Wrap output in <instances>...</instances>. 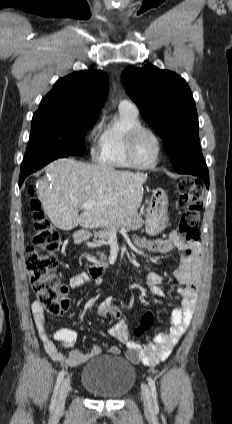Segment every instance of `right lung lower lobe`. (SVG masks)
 I'll use <instances>...</instances> for the list:
<instances>
[{
  "label": "right lung lower lobe",
  "mask_w": 232,
  "mask_h": 424,
  "mask_svg": "<svg viewBox=\"0 0 232 424\" xmlns=\"http://www.w3.org/2000/svg\"><path fill=\"white\" fill-rule=\"evenodd\" d=\"M68 156H70V155L53 154V155H49V156L40 157V158L32 161L31 163H29L26 166H21L19 186L22 185L23 181L25 180V178L29 174L36 172L37 170H40L41 168H43L45 165L52 162L53 160H56L58 158L68 157Z\"/></svg>",
  "instance_id": "right-lung-lower-lobe-1"
}]
</instances>
